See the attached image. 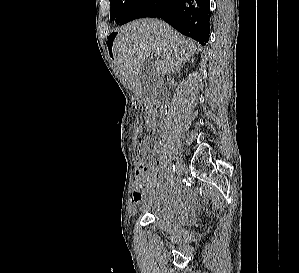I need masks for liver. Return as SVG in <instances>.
Returning a JSON list of instances; mask_svg holds the SVG:
<instances>
[{
  "mask_svg": "<svg viewBox=\"0 0 299 273\" xmlns=\"http://www.w3.org/2000/svg\"><path fill=\"white\" fill-rule=\"evenodd\" d=\"M197 50L196 43L186 39L157 19H139L118 30L113 43L115 63L136 97L143 94L141 69L150 54L157 53L154 66L160 75L178 69Z\"/></svg>",
  "mask_w": 299,
  "mask_h": 273,
  "instance_id": "obj_1",
  "label": "liver"
}]
</instances>
